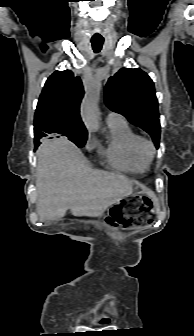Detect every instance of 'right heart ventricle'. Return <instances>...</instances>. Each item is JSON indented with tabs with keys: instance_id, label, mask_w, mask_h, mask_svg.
I'll use <instances>...</instances> for the list:
<instances>
[{
	"instance_id": "right-heart-ventricle-1",
	"label": "right heart ventricle",
	"mask_w": 194,
	"mask_h": 336,
	"mask_svg": "<svg viewBox=\"0 0 194 336\" xmlns=\"http://www.w3.org/2000/svg\"><path fill=\"white\" fill-rule=\"evenodd\" d=\"M110 134L105 146L99 147L100 154L110 166L117 170L142 173L149 161L140 153V137L124 122L109 126Z\"/></svg>"
}]
</instances>
